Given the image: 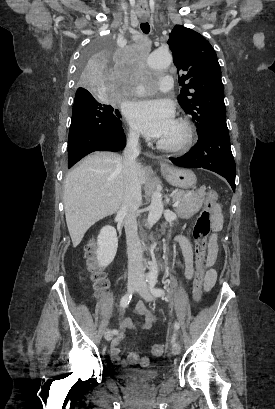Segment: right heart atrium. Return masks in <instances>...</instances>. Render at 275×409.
<instances>
[{
  "instance_id": "d8ad5b80",
  "label": "right heart atrium",
  "mask_w": 275,
  "mask_h": 409,
  "mask_svg": "<svg viewBox=\"0 0 275 409\" xmlns=\"http://www.w3.org/2000/svg\"><path fill=\"white\" fill-rule=\"evenodd\" d=\"M139 136L138 130L135 126L129 125L128 127V138L132 141L137 140Z\"/></svg>"
}]
</instances>
